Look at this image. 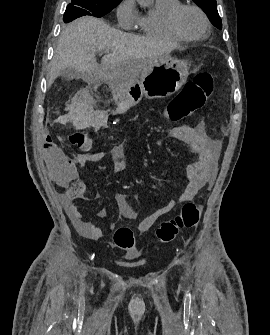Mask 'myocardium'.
<instances>
[{
	"label": "myocardium",
	"instance_id": "f54148a6",
	"mask_svg": "<svg viewBox=\"0 0 270 335\" xmlns=\"http://www.w3.org/2000/svg\"><path fill=\"white\" fill-rule=\"evenodd\" d=\"M185 9H193L196 12H198L200 14V16L202 17L203 22L205 24V33L202 36L191 37V36L187 35L181 29L180 24H179V18H180L181 13ZM167 21H168V26H169L170 30L174 34H176L177 36H179V37H181L182 39H185V40H190V41L203 40V39L207 38L211 33V25H210V22H209V20L206 16V14L199 7H197L193 4H181L180 6L174 8L169 13Z\"/></svg>",
	"mask_w": 270,
	"mask_h": 335
}]
</instances>
